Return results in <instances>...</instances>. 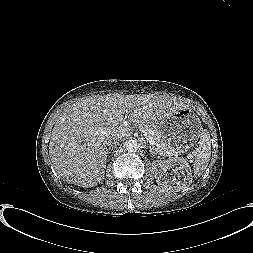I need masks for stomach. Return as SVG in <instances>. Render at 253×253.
<instances>
[{
	"label": "stomach",
	"mask_w": 253,
	"mask_h": 253,
	"mask_svg": "<svg viewBox=\"0 0 253 253\" xmlns=\"http://www.w3.org/2000/svg\"><path fill=\"white\" fill-rule=\"evenodd\" d=\"M153 125L164 141L178 153H184L196 145L203 133L200 118L189 107L182 108Z\"/></svg>",
	"instance_id": "obj_1"
}]
</instances>
